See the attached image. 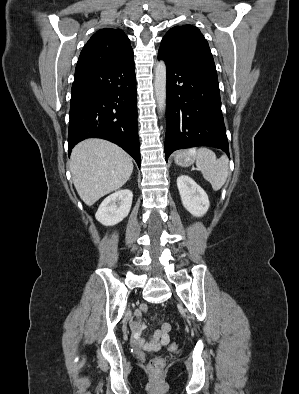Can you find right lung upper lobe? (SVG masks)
<instances>
[{
	"mask_svg": "<svg viewBox=\"0 0 299 394\" xmlns=\"http://www.w3.org/2000/svg\"><path fill=\"white\" fill-rule=\"evenodd\" d=\"M133 60V49L125 33L119 29L98 30L86 43L79 56L76 72Z\"/></svg>",
	"mask_w": 299,
	"mask_h": 394,
	"instance_id": "1",
	"label": "right lung upper lobe"
}]
</instances>
